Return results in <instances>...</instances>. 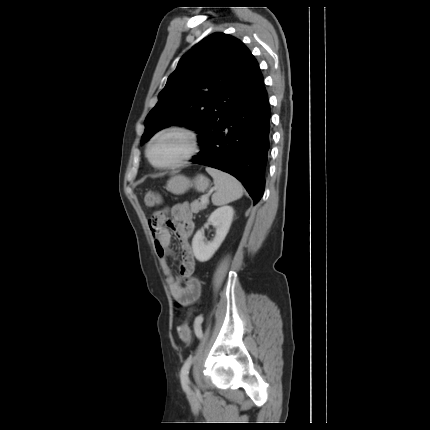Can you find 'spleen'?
<instances>
[{
	"label": "spleen",
	"mask_w": 430,
	"mask_h": 430,
	"mask_svg": "<svg viewBox=\"0 0 430 430\" xmlns=\"http://www.w3.org/2000/svg\"><path fill=\"white\" fill-rule=\"evenodd\" d=\"M206 171L214 180L215 193L211 198L214 205L223 206L242 197V184L234 176L213 167H206Z\"/></svg>",
	"instance_id": "spleen-1"
}]
</instances>
